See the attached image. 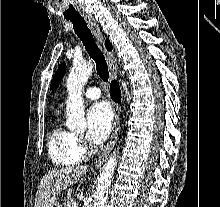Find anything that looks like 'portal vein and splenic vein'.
I'll return each instance as SVG.
<instances>
[{"label": "portal vein and splenic vein", "mask_w": 220, "mask_h": 207, "mask_svg": "<svg viewBox=\"0 0 220 207\" xmlns=\"http://www.w3.org/2000/svg\"><path fill=\"white\" fill-rule=\"evenodd\" d=\"M72 207H78V203L77 202H73Z\"/></svg>", "instance_id": "18ae733b"}]
</instances>
